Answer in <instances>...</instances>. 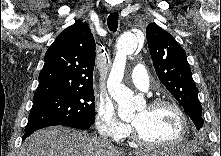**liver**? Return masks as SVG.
<instances>
[{
  "label": "liver",
  "mask_w": 221,
  "mask_h": 156,
  "mask_svg": "<svg viewBox=\"0 0 221 156\" xmlns=\"http://www.w3.org/2000/svg\"><path fill=\"white\" fill-rule=\"evenodd\" d=\"M187 151H197L194 145H186ZM20 156H126L113 146H106L101 140L87 132L65 127L45 128L33 133L22 144ZM136 156H147L136 152ZM132 156V153H128Z\"/></svg>",
  "instance_id": "liver-1"
}]
</instances>
